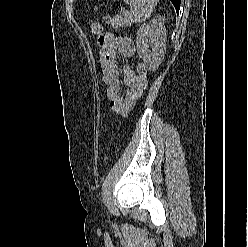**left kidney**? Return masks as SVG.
Instances as JSON below:
<instances>
[{"mask_svg":"<svg viewBox=\"0 0 248 247\" xmlns=\"http://www.w3.org/2000/svg\"><path fill=\"white\" fill-rule=\"evenodd\" d=\"M166 40L167 34L162 16L153 18L139 28L136 39L137 53L150 71H155L162 63Z\"/></svg>","mask_w":248,"mask_h":247,"instance_id":"obj_1","label":"left kidney"}]
</instances>
